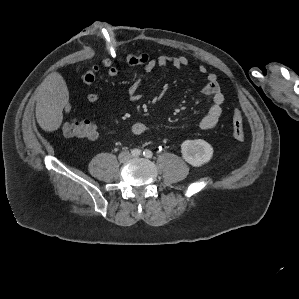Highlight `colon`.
<instances>
[{"label": "colon", "mask_w": 299, "mask_h": 299, "mask_svg": "<svg viewBox=\"0 0 299 299\" xmlns=\"http://www.w3.org/2000/svg\"><path fill=\"white\" fill-rule=\"evenodd\" d=\"M62 132L67 137L92 139L97 134V128L95 124L88 120L74 118L64 122ZM232 136L238 141L243 140L245 137L244 119L238 108L233 111Z\"/></svg>", "instance_id": "1"}]
</instances>
